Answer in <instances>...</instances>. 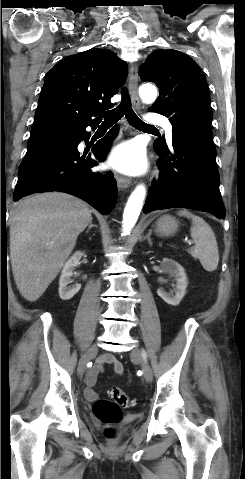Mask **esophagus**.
I'll use <instances>...</instances> for the list:
<instances>
[{"label": "esophagus", "instance_id": "34e87169", "mask_svg": "<svg viewBox=\"0 0 245 479\" xmlns=\"http://www.w3.org/2000/svg\"><path fill=\"white\" fill-rule=\"evenodd\" d=\"M128 88L131 95L133 106L136 109L140 108V99L138 96V70L136 65H132L128 75ZM117 184L120 190H125L131 185V181L128 178L115 173Z\"/></svg>", "mask_w": 245, "mask_h": 479}]
</instances>
